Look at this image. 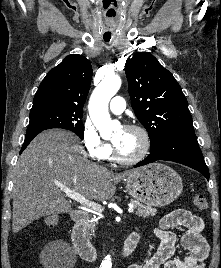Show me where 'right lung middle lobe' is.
<instances>
[{
	"label": "right lung middle lobe",
	"instance_id": "right-lung-middle-lobe-1",
	"mask_svg": "<svg viewBox=\"0 0 221 268\" xmlns=\"http://www.w3.org/2000/svg\"><path fill=\"white\" fill-rule=\"evenodd\" d=\"M83 112L47 109L30 112V122L27 134L41 132L50 128H62L74 132L81 139L84 136L82 123Z\"/></svg>",
	"mask_w": 221,
	"mask_h": 268
}]
</instances>
